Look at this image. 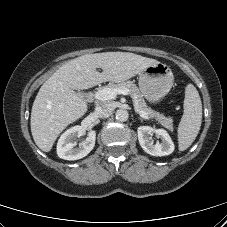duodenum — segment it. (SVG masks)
<instances>
[{
	"mask_svg": "<svg viewBox=\"0 0 227 227\" xmlns=\"http://www.w3.org/2000/svg\"><path fill=\"white\" fill-rule=\"evenodd\" d=\"M90 98H92V94H90Z\"/></svg>",
	"mask_w": 227,
	"mask_h": 227,
	"instance_id": "410a0bca",
	"label": "duodenum"
}]
</instances>
